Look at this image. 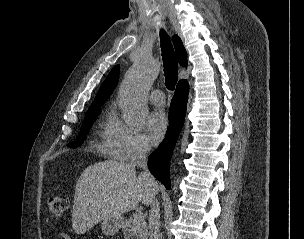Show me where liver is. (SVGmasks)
I'll return each instance as SVG.
<instances>
[{"label": "liver", "instance_id": "obj_1", "mask_svg": "<svg viewBox=\"0 0 304 239\" xmlns=\"http://www.w3.org/2000/svg\"><path fill=\"white\" fill-rule=\"evenodd\" d=\"M158 191L157 182L150 187L128 163L106 160L90 165L75 187L72 227L83 234L104 219L121 217L139 202L149 205Z\"/></svg>", "mask_w": 304, "mask_h": 239}]
</instances>
